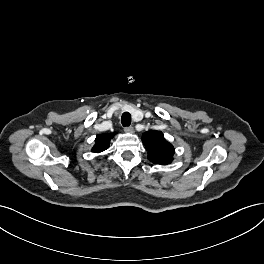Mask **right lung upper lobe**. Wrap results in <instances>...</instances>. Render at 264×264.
<instances>
[{
  "mask_svg": "<svg viewBox=\"0 0 264 264\" xmlns=\"http://www.w3.org/2000/svg\"><path fill=\"white\" fill-rule=\"evenodd\" d=\"M113 135V133L97 135L92 151L100 153L108 149L110 145V139L113 137Z\"/></svg>",
  "mask_w": 264,
  "mask_h": 264,
  "instance_id": "right-lung-upper-lobe-1",
  "label": "right lung upper lobe"
}]
</instances>
